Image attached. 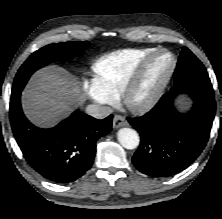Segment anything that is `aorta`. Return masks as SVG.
Wrapping results in <instances>:
<instances>
[{
  "label": "aorta",
  "mask_w": 222,
  "mask_h": 219,
  "mask_svg": "<svg viewBox=\"0 0 222 219\" xmlns=\"http://www.w3.org/2000/svg\"><path fill=\"white\" fill-rule=\"evenodd\" d=\"M118 141L126 149H135L139 145V135L131 128H121L117 134Z\"/></svg>",
  "instance_id": "obj_1"
}]
</instances>
